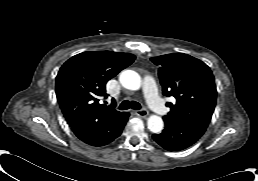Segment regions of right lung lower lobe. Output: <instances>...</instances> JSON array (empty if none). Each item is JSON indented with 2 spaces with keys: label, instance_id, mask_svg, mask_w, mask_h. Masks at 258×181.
<instances>
[{
  "label": "right lung lower lobe",
  "instance_id": "1",
  "mask_svg": "<svg viewBox=\"0 0 258 181\" xmlns=\"http://www.w3.org/2000/svg\"><path fill=\"white\" fill-rule=\"evenodd\" d=\"M128 117V113H122L106 121L72 127V130L83 142L92 146H103L120 136Z\"/></svg>",
  "mask_w": 258,
  "mask_h": 181
}]
</instances>
